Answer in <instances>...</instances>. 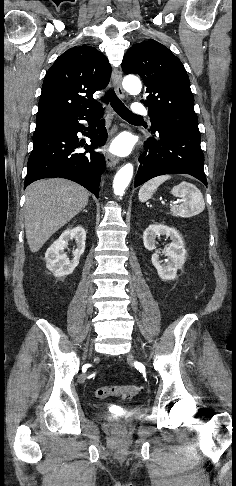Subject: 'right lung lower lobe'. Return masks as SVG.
Instances as JSON below:
<instances>
[{
	"instance_id": "right-lung-lower-lobe-1",
	"label": "right lung lower lobe",
	"mask_w": 236,
	"mask_h": 486,
	"mask_svg": "<svg viewBox=\"0 0 236 486\" xmlns=\"http://www.w3.org/2000/svg\"><path fill=\"white\" fill-rule=\"evenodd\" d=\"M102 115L103 109L97 107L36 123L34 146L27 164L24 189L39 179L61 177L79 183L98 198V187L106 164L104 155L94 152L93 149L104 145L107 139L104 120L96 123L86 133L91 144H80L86 152L79 153L75 149L79 147L77 133H84L85 129L79 120L92 123Z\"/></svg>"
}]
</instances>
